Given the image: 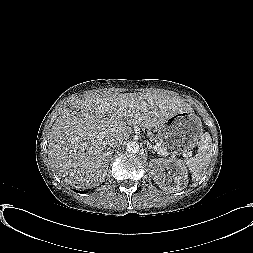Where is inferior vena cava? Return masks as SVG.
Segmentation results:
<instances>
[{
	"instance_id": "1",
	"label": "inferior vena cava",
	"mask_w": 253,
	"mask_h": 253,
	"mask_svg": "<svg viewBox=\"0 0 253 253\" xmlns=\"http://www.w3.org/2000/svg\"><path fill=\"white\" fill-rule=\"evenodd\" d=\"M118 143H122V142H120V140H118V139H113L112 147L117 146Z\"/></svg>"
}]
</instances>
